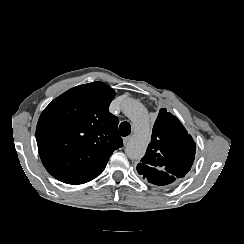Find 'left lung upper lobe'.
<instances>
[{
	"mask_svg": "<svg viewBox=\"0 0 244 244\" xmlns=\"http://www.w3.org/2000/svg\"><path fill=\"white\" fill-rule=\"evenodd\" d=\"M195 151L196 143L178 118L166 109H160L151 142L137 171L153 184H171L191 169Z\"/></svg>",
	"mask_w": 244,
	"mask_h": 244,
	"instance_id": "left-lung-upper-lobe-1",
	"label": "left lung upper lobe"
}]
</instances>
